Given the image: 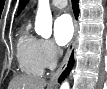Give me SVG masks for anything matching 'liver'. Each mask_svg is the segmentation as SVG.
<instances>
[{
	"label": "liver",
	"mask_w": 107,
	"mask_h": 89,
	"mask_svg": "<svg viewBox=\"0 0 107 89\" xmlns=\"http://www.w3.org/2000/svg\"><path fill=\"white\" fill-rule=\"evenodd\" d=\"M46 84L45 79L31 75H19L11 80L9 89H45Z\"/></svg>",
	"instance_id": "1"
}]
</instances>
